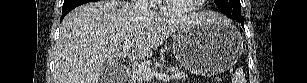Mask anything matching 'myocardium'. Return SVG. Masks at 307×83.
Masks as SVG:
<instances>
[{
  "instance_id": "1",
  "label": "myocardium",
  "mask_w": 307,
  "mask_h": 83,
  "mask_svg": "<svg viewBox=\"0 0 307 83\" xmlns=\"http://www.w3.org/2000/svg\"><path fill=\"white\" fill-rule=\"evenodd\" d=\"M206 2L205 0H197L196 3H194L192 6H187V7H173L169 1H161L159 6L160 9L164 13L172 14V15H187L190 13H193L197 10H199L202 6V3Z\"/></svg>"
}]
</instances>
